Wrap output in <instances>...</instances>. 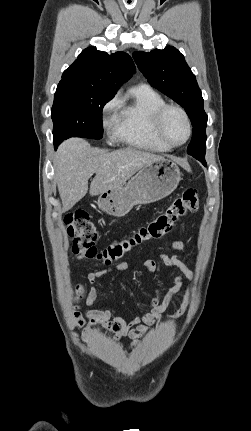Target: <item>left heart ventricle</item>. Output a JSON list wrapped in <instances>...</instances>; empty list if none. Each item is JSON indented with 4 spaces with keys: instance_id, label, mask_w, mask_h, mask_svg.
I'll list each match as a JSON object with an SVG mask.
<instances>
[{
    "instance_id": "1",
    "label": "left heart ventricle",
    "mask_w": 251,
    "mask_h": 431,
    "mask_svg": "<svg viewBox=\"0 0 251 431\" xmlns=\"http://www.w3.org/2000/svg\"><path fill=\"white\" fill-rule=\"evenodd\" d=\"M163 132L174 143L182 142L187 135V126L183 116L176 110H169L163 120Z\"/></svg>"
}]
</instances>
